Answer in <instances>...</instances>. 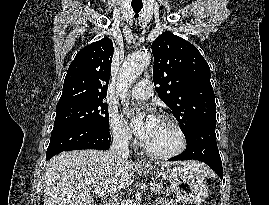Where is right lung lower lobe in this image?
Instances as JSON below:
<instances>
[{"label":"right lung lower lobe","mask_w":269,"mask_h":205,"mask_svg":"<svg viewBox=\"0 0 269 205\" xmlns=\"http://www.w3.org/2000/svg\"><path fill=\"white\" fill-rule=\"evenodd\" d=\"M109 130L83 124H62L53 127L46 153L49 160L54 155L70 150L110 148Z\"/></svg>","instance_id":"obj_1"}]
</instances>
